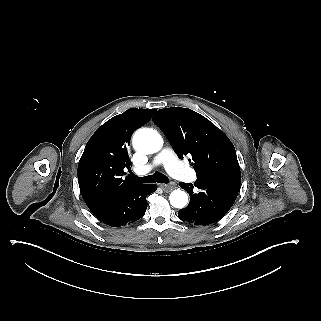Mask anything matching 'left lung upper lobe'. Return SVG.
I'll list each match as a JSON object with an SVG mask.
<instances>
[{"instance_id":"1","label":"left lung upper lobe","mask_w":321,"mask_h":321,"mask_svg":"<svg viewBox=\"0 0 321 321\" xmlns=\"http://www.w3.org/2000/svg\"><path fill=\"white\" fill-rule=\"evenodd\" d=\"M153 121L166 134L179 156L191 155L197 177L240 172L235 148L212 122L191 109H160ZM189 161H191L189 159Z\"/></svg>"}]
</instances>
